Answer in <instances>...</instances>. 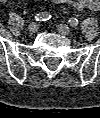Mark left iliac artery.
I'll use <instances>...</instances> for the list:
<instances>
[{
	"instance_id": "44dca946",
	"label": "left iliac artery",
	"mask_w": 100,
	"mask_h": 118,
	"mask_svg": "<svg viewBox=\"0 0 100 118\" xmlns=\"http://www.w3.org/2000/svg\"><path fill=\"white\" fill-rule=\"evenodd\" d=\"M78 23H79V21H78L76 18H71V19L69 20V24H70V26H72V27H76V26L78 25Z\"/></svg>"
}]
</instances>
